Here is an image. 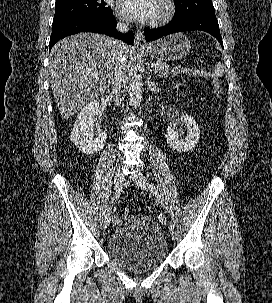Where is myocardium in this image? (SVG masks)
<instances>
[{"label":"myocardium","mask_w":272,"mask_h":303,"mask_svg":"<svg viewBox=\"0 0 272 303\" xmlns=\"http://www.w3.org/2000/svg\"><path fill=\"white\" fill-rule=\"evenodd\" d=\"M163 11L162 13L153 20V25H161L170 21L175 14V3L173 0H160Z\"/></svg>","instance_id":"f54148a6"}]
</instances>
